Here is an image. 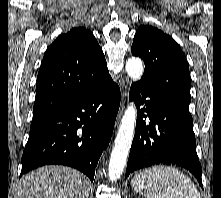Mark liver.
Instances as JSON below:
<instances>
[{"label": "liver", "instance_id": "1", "mask_svg": "<svg viewBox=\"0 0 221 198\" xmlns=\"http://www.w3.org/2000/svg\"><path fill=\"white\" fill-rule=\"evenodd\" d=\"M89 181L65 166H44L25 175L14 198H88Z\"/></svg>", "mask_w": 221, "mask_h": 198}]
</instances>
